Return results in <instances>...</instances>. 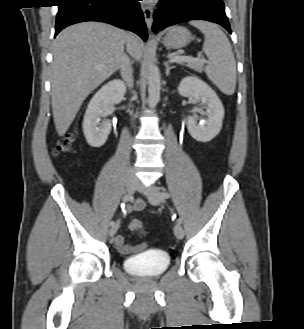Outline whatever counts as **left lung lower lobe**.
Listing matches in <instances>:
<instances>
[{"label":"left lung lower lobe","mask_w":304,"mask_h":329,"mask_svg":"<svg viewBox=\"0 0 304 329\" xmlns=\"http://www.w3.org/2000/svg\"><path fill=\"white\" fill-rule=\"evenodd\" d=\"M154 13V32L189 20H207L223 26L231 33L222 0H161Z\"/></svg>","instance_id":"obj_1"}]
</instances>
